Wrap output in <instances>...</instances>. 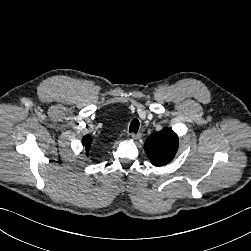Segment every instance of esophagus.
<instances>
[{
    "label": "esophagus",
    "mask_w": 251,
    "mask_h": 251,
    "mask_svg": "<svg viewBox=\"0 0 251 251\" xmlns=\"http://www.w3.org/2000/svg\"><path fill=\"white\" fill-rule=\"evenodd\" d=\"M131 137H132V139H134V140H138V139L140 138V134H139V133H137V134L132 133V134H131Z\"/></svg>",
    "instance_id": "esophagus-1"
}]
</instances>
